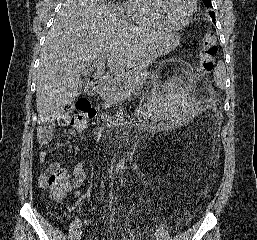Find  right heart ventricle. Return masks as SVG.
I'll use <instances>...</instances> for the list:
<instances>
[{"mask_svg": "<svg viewBox=\"0 0 257 240\" xmlns=\"http://www.w3.org/2000/svg\"><path fill=\"white\" fill-rule=\"evenodd\" d=\"M125 11L131 19L138 26L157 29L163 27L151 13L148 0H125L122 4Z\"/></svg>", "mask_w": 257, "mask_h": 240, "instance_id": "obj_1", "label": "right heart ventricle"}]
</instances>
